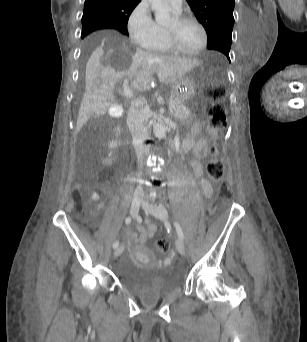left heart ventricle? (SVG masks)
I'll use <instances>...</instances> for the list:
<instances>
[{
    "instance_id": "1",
    "label": "left heart ventricle",
    "mask_w": 307,
    "mask_h": 342,
    "mask_svg": "<svg viewBox=\"0 0 307 342\" xmlns=\"http://www.w3.org/2000/svg\"><path fill=\"white\" fill-rule=\"evenodd\" d=\"M163 33L168 34L173 42L184 51H195L203 42V32L193 21L178 24L175 18L163 29Z\"/></svg>"
}]
</instances>
